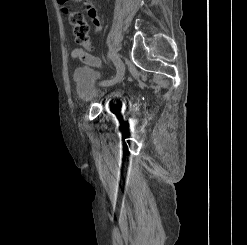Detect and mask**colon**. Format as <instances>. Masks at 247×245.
Here are the masks:
<instances>
[{
  "label": "colon",
  "mask_w": 247,
  "mask_h": 245,
  "mask_svg": "<svg viewBox=\"0 0 247 245\" xmlns=\"http://www.w3.org/2000/svg\"><path fill=\"white\" fill-rule=\"evenodd\" d=\"M69 22L73 26L76 40L88 50L92 49L89 39V26L84 15L79 11H71L68 15Z\"/></svg>",
  "instance_id": "5ec220e1"
}]
</instances>
